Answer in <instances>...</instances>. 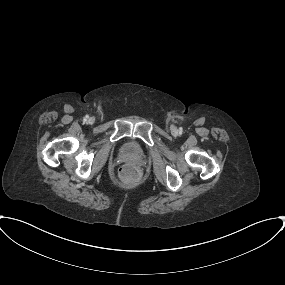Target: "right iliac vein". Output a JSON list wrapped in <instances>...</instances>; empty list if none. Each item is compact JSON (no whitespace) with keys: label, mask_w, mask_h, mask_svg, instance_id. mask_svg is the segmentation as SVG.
Returning <instances> with one entry per match:
<instances>
[{"label":"right iliac vein","mask_w":285,"mask_h":285,"mask_svg":"<svg viewBox=\"0 0 285 285\" xmlns=\"http://www.w3.org/2000/svg\"><path fill=\"white\" fill-rule=\"evenodd\" d=\"M93 120L92 119H89V122H92Z\"/></svg>","instance_id":"63e3f726"}]
</instances>
